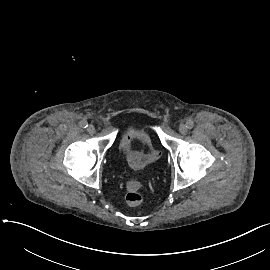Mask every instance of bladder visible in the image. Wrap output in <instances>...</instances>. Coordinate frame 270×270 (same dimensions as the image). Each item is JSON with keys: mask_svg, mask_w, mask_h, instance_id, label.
Instances as JSON below:
<instances>
[{"mask_svg": "<svg viewBox=\"0 0 270 270\" xmlns=\"http://www.w3.org/2000/svg\"><path fill=\"white\" fill-rule=\"evenodd\" d=\"M127 138L121 143L125 151V164L129 171L137 174L143 173L151 164L150 152L146 149L135 150L130 143L131 137H142L146 142L153 143V135L150 131H135L134 129L126 130Z\"/></svg>", "mask_w": 270, "mask_h": 270, "instance_id": "1", "label": "bladder"}]
</instances>
